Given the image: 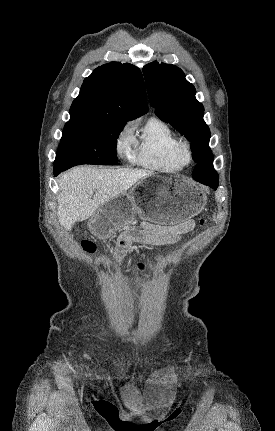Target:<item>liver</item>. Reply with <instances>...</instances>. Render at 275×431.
I'll return each instance as SVG.
<instances>
[{
    "label": "liver",
    "instance_id": "1",
    "mask_svg": "<svg viewBox=\"0 0 275 431\" xmlns=\"http://www.w3.org/2000/svg\"><path fill=\"white\" fill-rule=\"evenodd\" d=\"M153 175L138 169H97L74 167L60 175L57 217L69 231L77 221L93 216L105 202L124 193L139 180ZM90 191L95 192L91 199Z\"/></svg>",
    "mask_w": 275,
    "mask_h": 431
}]
</instances>
